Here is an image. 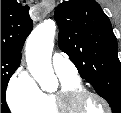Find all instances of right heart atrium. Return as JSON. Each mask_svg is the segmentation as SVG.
I'll return each instance as SVG.
<instances>
[{"label":"right heart atrium","mask_w":121,"mask_h":113,"mask_svg":"<svg viewBox=\"0 0 121 113\" xmlns=\"http://www.w3.org/2000/svg\"><path fill=\"white\" fill-rule=\"evenodd\" d=\"M40 94L36 81L23 68H19L8 83L7 101L11 110L18 113L32 109L38 103Z\"/></svg>","instance_id":"1"}]
</instances>
